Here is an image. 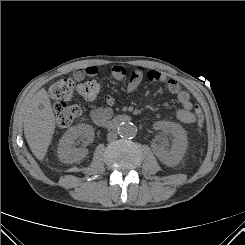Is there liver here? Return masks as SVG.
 Wrapping results in <instances>:
<instances>
[{
	"label": "liver",
	"mask_w": 245,
	"mask_h": 245,
	"mask_svg": "<svg viewBox=\"0 0 245 245\" xmlns=\"http://www.w3.org/2000/svg\"><path fill=\"white\" fill-rule=\"evenodd\" d=\"M24 135L34 156L42 161L55 131V116L44 88L40 89L25 108Z\"/></svg>",
	"instance_id": "1"
}]
</instances>
